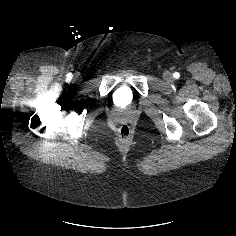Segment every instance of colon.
I'll return each mask as SVG.
<instances>
[{
  "label": "colon",
  "mask_w": 236,
  "mask_h": 236,
  "mask_svg": "<svg viewBox=\"0 0 236 236\" xmlns=\"http://www.w3.org/2000/svg\"><path fill=\"white\" fill-rule=\"evenodd\" d=\"M131 128L127 124H122L118 128V137L120 141L127 143L131 139Z\"/></svg>",
  "instance_id": "obj_1"
}]
</instances>
